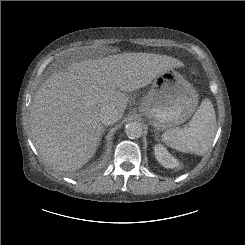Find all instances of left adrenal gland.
I'll return each instance as SVG.
<instances>
[{"mask_svg": "<svg viewBox=\"0 0 245 245\" xmlns=\"http://www.w3.org/2000/svg\"><path fill=\"white\" fill-rule=\"evenodd\" d=\"M155 139H156V140H158V138H157L156 134H155Z\"/></svg>", "mask_w": 245, "mask_h": 245, "instance_id": "left-adrenal-gland-1", "label": "left adrenal gland"}]
</instances>
